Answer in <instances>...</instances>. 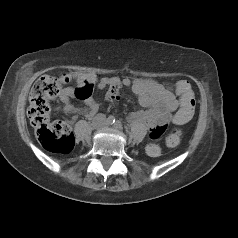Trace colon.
<instances>
[{
    "mask_svg": "<svg viewBox=\"0 0 238 238\" xmlns=\"http://www.w3.org/2000/svg\"><path fill=\"white\" fill-rule=\"evenodd\" d=\"M71 77V74L65 75L60 79L43 76L33 87L30 95V120L35 126L40 139L52 150L57 152L69 151L71 138L67 135L64 123L50 122L49 102L61 93L62 83L69 81ZM87 86L90 92V86ZM175 93L179 96L180 108L176 111L174 121L178 125H183L188 122L194 114L195 99L191 87L186 81H181L176 84ZM109 94L110 98L117 96V93L113 90ZM76 95L79 96L77 90ZM164 131V126H156L151 130L150 137L153 139L159 138ZM180 135V131L173 132L167 138V145L170 147L176 146L180 141ZM147 151L152 156H157L160 152L159 147L156 145L148 146Z\"/></svg>",
    "mask_w": 238,
    "mask_h": 238,
    "instance_id": "colon-1",
    "label": "colon"
}]
</instances>
